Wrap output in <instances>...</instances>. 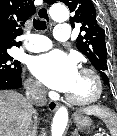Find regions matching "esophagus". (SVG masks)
<instances>
[{"mask_svg": "<svg viewBox=\"0 0 117 136\" xmlns=\"http://www.w3.org/2000/svg\"><path fill=\"white\" fill-rule=\"evenodd\" d=\"M37 16L39 19L44 20L46 22H50V16L48 12V8L45 5H42L37 10ZM59 107V103L55 101H49L48 108L51 111H55Z\"/></svg>", "mask_w": 117, "mask_h": 136, "instance_id": "obj_1", "label": "esophagus"}]
</instances>
